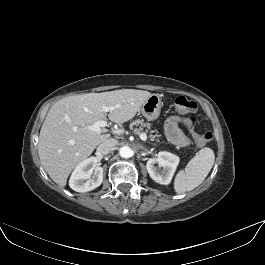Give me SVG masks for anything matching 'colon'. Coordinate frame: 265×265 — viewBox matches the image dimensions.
Masks as SVG:
<instances>
[{
  "label": "colon",
  "instance_id": "obj_1",
  "mask_svg": "<svg viewBox=\"0 0 265 265\" xmlns=\"http://www.w3.org/2000/svg\"><path fill=\"white\" fill-rule=\"evenodd\" d=\"M174 107L176 110L182 111L185 113V119L187 122V125L193 129L197 123V118H196V109L197 105L194 101H191L185 97H178L174 101ZM193 139L194 142L198 147H203L206 144H208L212 138L213 135L210 132L200 134V133H193Z\"/></svg>",
  "mask_w": 265,
  "mask_h": 265
}]
</instances>
